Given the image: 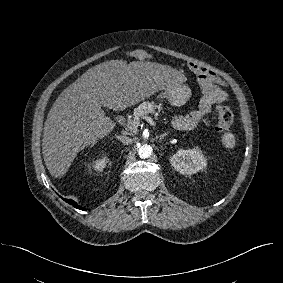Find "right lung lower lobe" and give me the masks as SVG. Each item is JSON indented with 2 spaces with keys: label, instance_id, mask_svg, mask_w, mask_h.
<instances>
[{
  "label": "right lung lower lobe",
  "instance_id": "obj_1",
  "mask_svg": "<svg viewBox=\"0 0 283 283\" xmlns=\"http://www.w3.org/2000/svg\"><path fill=\"white\" fill-rule=\"evenodd\" d=\"M63 200H64L65 202H67V203H69V204L73 205L75 208H78V209L84 210V208H82V207L78 206L76 202H74V201H72V200H70V199H64V198H63Z\"/></svg>",
  "mask_w": 283,
  "mask_h": 283
}]
</instances>
